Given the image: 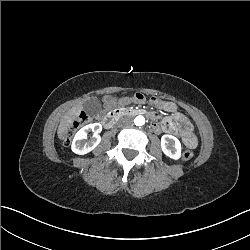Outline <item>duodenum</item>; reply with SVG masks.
I'll return each instance as SVG.
<instances>
[{"label": "duodenum", "mask_w": 250, "mask_h": 250, "mask_svg": "<svg viewBox=\"0 0 250 250\" xmlns=\"http://www.w3.org/2000/svg\"><path fill=\"white\" fill-rule=\"evenodd\" d=\"M136 115L147 116L150 117L151 114L144 109H124V108H116L111 110L106 114L103 120V127L107 130L112 129L116 122L123 116L134 117Z\"/></svg>", "instance_id": "1"}]
</instances>
